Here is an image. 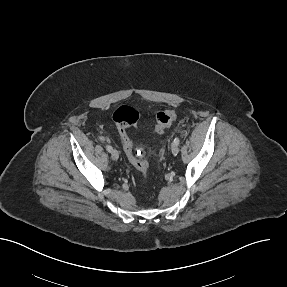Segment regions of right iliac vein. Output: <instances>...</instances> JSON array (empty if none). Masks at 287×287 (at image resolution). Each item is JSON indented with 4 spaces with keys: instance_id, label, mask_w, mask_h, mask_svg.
<instances>
[{
    "instance_id": "1",
    "label": "right iliac vein",
    "mask_w": 287,
    "mask_h": 287,
    "mask_svg": "<svg viewBox=\"0 0 287 287\" xmlns=\"http://www.w3.org/2000/svg\"><path fill=\"white\" fill-rule=\"evenodd\" d=\"M111 158H112L113 160H118V158H119V153H118V151H117L116 149H112V150H111Z\"/></svg>"
}]
</instances>
